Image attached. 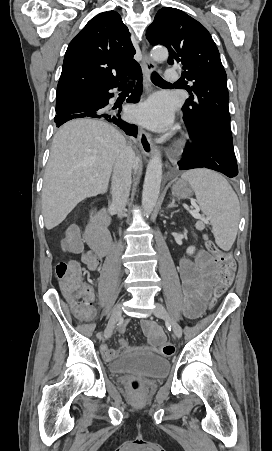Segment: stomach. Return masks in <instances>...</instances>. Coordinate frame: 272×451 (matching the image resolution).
Wrapping results in <instances>:
<instances>
[{"label":"stomach","mask_w":272,"mask_h":451,"mask_svg":"<svg viewBox=\"0 0 272 451\" xmlns=\"http://www.w3.org/2000/svg\"><path fill=\"white\" fill-rule=\"evenodd\" d=\"M172 194L175 198H189V196H192L193 190L187 182L178 180V182H175L172 186Z\"/></svg>","instance_id":"obj_1"}]
</instances>
